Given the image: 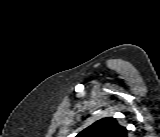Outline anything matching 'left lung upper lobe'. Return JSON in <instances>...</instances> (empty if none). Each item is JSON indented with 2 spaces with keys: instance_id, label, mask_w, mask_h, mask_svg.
Wrapping results in <instances>:
<instances>
[{
  "instance_id": "obj_1",
  "label": "left lung upper lobe",
  "mask_w": 160,
  "mask_h": 137,
  "mask_svg": "<svg viewBox=\"0 0 160 137\" xmlns=\"http://www.w3.org/2000/svg\"><path fill=\"white\" fill-rule=\"evenodd\" d=\"M77 137H127V130L116 119L106 117L94 122Z\"/></svg>"
}]
</instances>
